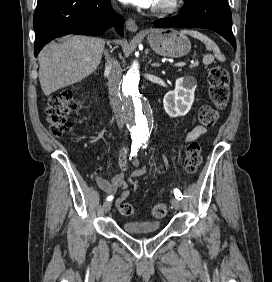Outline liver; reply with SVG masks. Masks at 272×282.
Returning a JSON list of instances; mask_svg holds the SVG:
<instances>
[{"label": "liver", "mask_w": 272, "mask_h": 282, "mask_svg": "<svg viewBox=\"0 0 272 282\" xmlns=\"http://www.w3.org/2000/svg\"><path fill=\"white\" fill-rule=\"evenodd\" d=\"M104 46V39L80 35L46 45L38 56L43 93L49 96L93 73L101 61Z\"/></svg>", "instance_id": "liver-1"}]
</instances>
